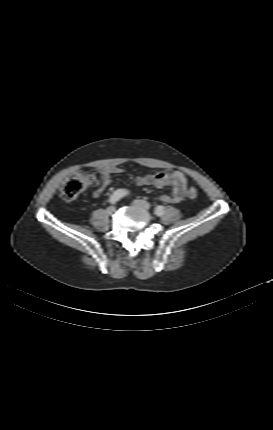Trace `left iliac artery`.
Masks as SVG:
<instances>
[{
	"instance_id": "44dca946",
	"label": "left iliac artery",
	"mask_w": 273,
	"mask_h": 430,
	"mask_svg": "<svg viewBox=\"0 0 273 430\" xmlns=\"http://www.w3.org/2000/svg\"><path fill=\"white\" fill-rule=\"evenodd\" d=\"M164 209H165L164 206H161V205L157 206L155 208V214L157 216H162L164 214Z\"/></svg>"
}]
</instances>
